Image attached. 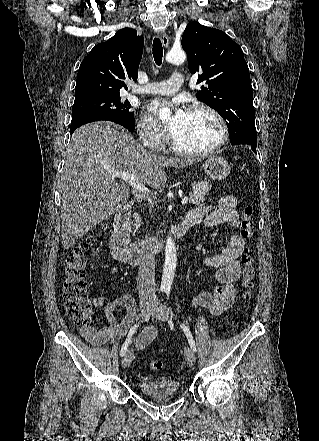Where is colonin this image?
<instances>
[{
	"instance_id": "colon-1",
	"label": "colon",
	"mask_w": 319,
	"mask_h": 441,
	"mask_svg": "<svg viewBox=\"0 0 319 441\" xmlns=\"http://www.w3.org/2000/svg\"><path fill=\"white\" fill-rule=\"evenodd\" d=\"M254 227L253 207L246 203L241 212V234L244 239H251ZM95 242V236L87 237L69 253L64 267L63 301L66 314L75 324L81 326H90L93 312V304L84 277L88 254ZM242 263L244 265L241 280L242 297L249 300L256 277L254 259L249 246L245 248L242 254ZM147 366L150 371L155 372L162 368V361L154 358L148 361Z\"/></svg>"
}]
</instances>
